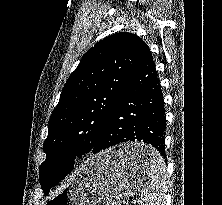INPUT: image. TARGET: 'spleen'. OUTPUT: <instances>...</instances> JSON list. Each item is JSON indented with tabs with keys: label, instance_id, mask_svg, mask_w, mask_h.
I'll return each mask as SVG.
<instances>
[{
	"label": "spleen",
	"instance_id": "1",
	"mask_svg": "<svg viewBox=\"0 0 222 205\" xmlns=\"http://www.w3.org/2000/svg\"><path fill=\"white\" fill-rule=\"evenodd\" d=\"M166 165L158 154L153 156L148 171V178L141 189V205H165L166 199Z\"/></svg>",
	"mask_w": 222,
	"mask_h": 205
}]
</instances>
